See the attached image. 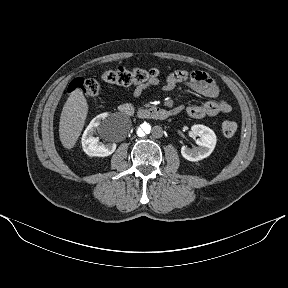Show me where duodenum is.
Listing matches in <instances>:
<instances>
[{
	"label": "duodenum",
	"instance_id": "1",
	"mask_svg": "<svg viewBox=\"0 0 288 288\" xmlns=\"http://www.w3.org/2000/svg\"><path fill=\"white\" fill-rule=\"evenodd\" d=\"M119 111L126 116L136 115L140 119L152 120H165L168 117L177 114V111L175 109L166 110L156 106L135 111L133 106L128 103L121 104L119 106Z\"/></svg>",
	"mask_w": 288,
	"mask_h": 288
}]
</instances>
